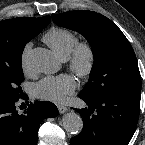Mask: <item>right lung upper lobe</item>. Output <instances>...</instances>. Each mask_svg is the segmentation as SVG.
<instances>
[{
  "label": "right lung upper lobe",
  "mask_w": 145,
  "mask_h": 145,
  "mask_svg": "<svg viewBox=\"0 0 145 145\" xmlns=\"http://www.w3.org/2000/svg\"><path fill=\"white\" fill-rule=\"evenodd\" d=\"M50 22V16L18 17L0 21V64L15 61L22 52V40L26 33L44 29Z\"/></svg>",
  "instance_id": "1"
}]
</instances>
